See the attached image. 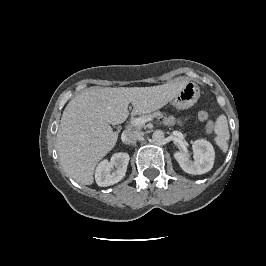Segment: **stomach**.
<instances>
[{
    "label": "stomach",
    "mask_w": 266,
    "mask_h": 266,
    "mask_svg": "<svg viewBox=\"0 0 266 266\" xmlns=\"http://www.w3.org/2000/svg\"><path fill=\"white\" fill-rule=\"evenodd\" d=\"M200 96V90L195 82L187 81L179 92L173 97L171 103L177 109H186L197 102Z\"/></svg>",
    "instance_id": "stomach-1"
}]
</instances>
